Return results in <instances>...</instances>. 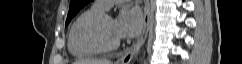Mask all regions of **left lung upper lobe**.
Returning <instances> with one entry per match:
<instances>
[{
  "label": "left lung upper lobe",
  "mask_w": 242,
  "mask_h": 64,
  "mask_svg": "<svg viewBox=\"0 0 242 64\" xmlns=\"http://www.w3.org/2000/svg\"><path fill=\"white\" fill-rule=\"evenodd\" d=\"M92 0H71L70 9L66 19V25L71 21V19L83 8L86 4L90 3Z\"/></svg>",
  "instance_id": "left-lung-upper-lobe-1"
}]
</instances>
